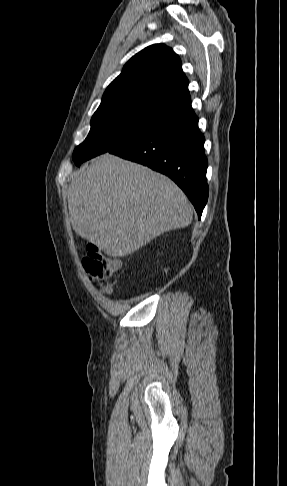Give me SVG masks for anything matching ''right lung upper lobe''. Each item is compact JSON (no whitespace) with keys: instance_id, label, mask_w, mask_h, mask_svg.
<instances>
[{"instance_id":"obj_1","label":"right lung upper lobe","mask_w":287,"mask_h":486,"mask_svg":"<svg viewBox=\"0 0 287 486\" xmlns=\"http://www.w3.org/2000/svg\"><path fill=\"white\" fill-rule=\"evenodd\" d=\"M178 55L154 44L134 55L103 94L101 106L149 104L171 111L191 103L188 79Z\"/></svg>"}]
</instances>
